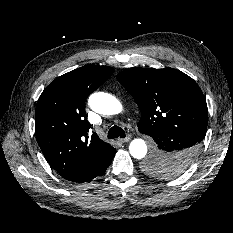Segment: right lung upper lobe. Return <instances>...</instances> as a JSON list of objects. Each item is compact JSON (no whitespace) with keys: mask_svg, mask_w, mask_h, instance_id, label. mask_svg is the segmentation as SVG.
<instances>
[{"mask_svg":"<svg viewBox=\"0 0 233 233\" xmlns=\"http://www.w3.org/2000/svg\"><path fill=\"white\" fill-rule=\"evenodd\" d=\"M109 66L88 64L51 82L40 95L35 132L41 151L62 177L87 165L102 162L113 147L96 133L89 136L86 98L113 73Z\"/></svg>","mask_w":233,"mask_h":233,"instance_id":"cb5924a9","label":"right lung upper lobe"}]
</instances>
